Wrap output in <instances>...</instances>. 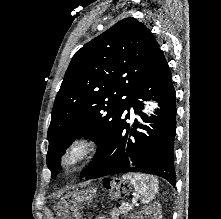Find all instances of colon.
I'll return each instance as SVG.
<instances>
[{
	"label": "colon",
	"mask_w": 221,
	"mask_h": 219,
	"mask_svg": "<svg viewBox=\"0 0 221 219\" xmlns=\"http://www.w3.org/2000/svg\"><path fill=\"white\" fill-rule=\"evenodd\" d=\"M64 219H80L79 215L72 207L62 209Z\"/></svg>",
	"instance_id": "colon-1"
}]
</instances>
